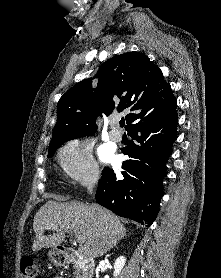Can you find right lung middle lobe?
<instances>
[{"instance_id":"right-lung-middle-lobe-1","label":"right lung middle lobe","mask_w":221,"mask_h":278,"mask_svg":"<svg viewBox=\"0 0 221 278\" xmlns=\"http://www.w3.org/2000/svg\"><path fill=\"white\" fill-rule=\"evenodd\" d=\"M61 145H62V143L59 145L50 147L49 152H48V157H52L54 155V152L56 151V149H58Z\"/></svg>"}]
</instances>
